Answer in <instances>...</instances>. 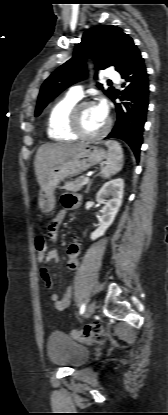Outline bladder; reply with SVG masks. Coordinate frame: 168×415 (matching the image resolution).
<instances>
[{
	"instance_id": "1",
	"label": "bladder",
	"mask_w": 168,
	"mask_h": 415,
	"mask_svg": "<svg viewBox=\"0 0 168 415\" xmlns=\"http://www.w3.org/2000/svg\"><path fill=\"white\" fill-rule=\"evenodd\" d=\"M47 355L55 365L76 369L88 360L90 352L68 335L55 331L48 338Z\"/></svg>"
}]
</instances>
